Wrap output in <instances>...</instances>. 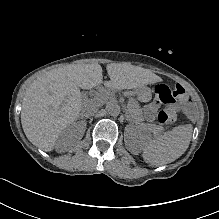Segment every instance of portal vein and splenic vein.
<instances>
[{
    "instance_id": "1",
    "label": "portal vein and splenic vein",
    "mask_w": 219,
    "mask_h": 219,
    "mask_svg": "<svg viewBox=\"0 0 219 219\" xmlns=\"http://www.w3.org/2000/svg\"><path fill=\"white\" fill-rule=\"evenodd\" d=\"M102 93H103V89H101V90L98 91V94L102 95ZM112 93H113V92H110V94H109V99H111V98L113 97V94H112Z\"/></svg>"
}]
</instances>
